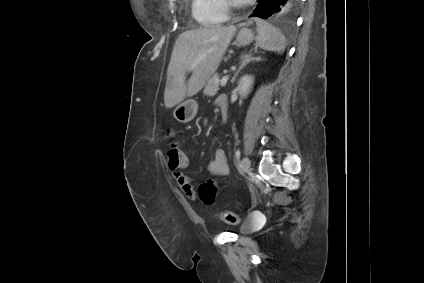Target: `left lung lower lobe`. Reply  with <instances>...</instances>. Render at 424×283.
<instances>
[{
	"mask_svg": "<svg viewBox=\"0 0 424 283\" xmlns=\"http://www.w3.org/2000/svg\"><path fill=\"white\" fill-rule=\"evenodd\" d=\"M300 0H258V5L249 17H269L288 16L298 7Z\"/></svg>",
	"mask_w": 424,
	"mask_h": 283,
	"instance_id": "obj_1",
	"label": "left lung lower lobe"
}]
</instances>
